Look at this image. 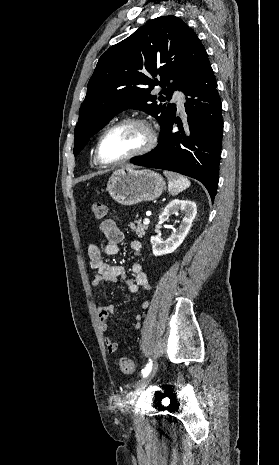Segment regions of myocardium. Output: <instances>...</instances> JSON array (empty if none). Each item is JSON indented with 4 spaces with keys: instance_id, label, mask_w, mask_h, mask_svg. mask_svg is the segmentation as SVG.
<instances>
[{
    "instance_id": "f54148a6",
    "label": "myocardium",
    "mask_w": 279,
    "mask_h": 465,
    "mask_svg": "<svg viewBox=\"0 0 279 465\" xmlns=\"http://www.w3.org/2000/svg\"><path fill=\"white\" fill-rule=\"evenodd\" d=\"M131 125H138V126L143 127L146 130V133H147V141H146V143L140 149H138L137 151H135V152H133V153H131V154L125 156V157H122V158H120L118 160H115V161H105V160H103L102 157H101V145H102V142H103L104 138L106 137V135L108 133H110L111 131L117 129V128L124 127V126H131ZM156 143H157V131H156L155 127L153 126V124L150 121H148L145 118L124 119V120L118 121V122L108 126L102 132V134L100 135V137L98 138L97 143H96L95 159H96L97 163L102 165V166H116V165L125 163V162L130 161V160H132L134 158H137V157H140V156H143V155L149 153L156 146Z\"/></svg>"
}]
</instances>
